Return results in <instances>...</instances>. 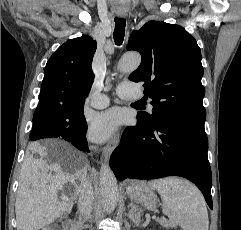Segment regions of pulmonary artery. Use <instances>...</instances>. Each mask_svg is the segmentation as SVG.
I'll use <instances>...</instances> for the list:
<instances>
[{
	"mask_svg": "<svg viewBox=\"0 0 241 230\" xmlns=\"http://www.w3.org/2000/svg\"><path fill=\"white\" fill-rule=\"evenodd\" d=\"M118 95L121 98L128 100H138L141 98V92L137 85L131 82H124L118 88ZM109 105V99L106 95H98L91 101V106L93 108L101 109Z\"/></svg>",
	"mask_w": 241,
	"mask_h": 230,
	"instance_id": "e3ab8cb5",
	"label": "pulmonary artery"
}]
</instances>
